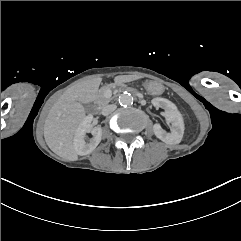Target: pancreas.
<instances>
[{"mask_svg": "<svg viewBox=\"0 0 241 241\" xmlns=\"http://www.w3.org/2000/svg\"><path fill=\"white\" fill-rule=\"evenodd\" d=\"M104 91H105V89H101V90L99 91V96H98V98H97V103H98L99 105H106V104L110 101V98H107V97L105 96Z\"/></svg>", "mask_w": 241, "mask_h": 241, "instance_id": "cf45deb5", "label": "pancreas"}]
</instances>
